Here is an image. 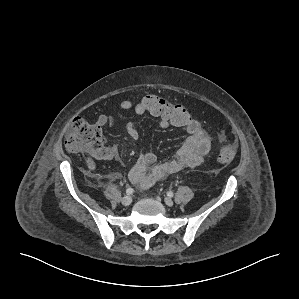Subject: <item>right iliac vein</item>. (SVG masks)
<instances>
[{"instance_id":"1","label":"right iliac vein","mask_w":299,"mask_h":299,"mask_svg":"<svg viewBox=\"0 0 299 299\" xmlns=\"http://www.w3.org/2000/svg\"><path fill=\"white\" fill-rule=\"evenodd\" d=\"M122 204L124 206H129L131 203H132V197L127 195V196H124L121 200Z\"/></svg>"}]
</instances>
